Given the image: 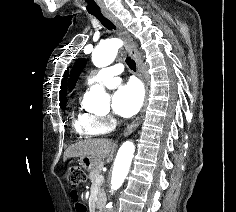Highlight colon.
Here are the masks:
<instances>
[{"label":"colon","mask_w":236,"mask_h":212,"mask_svg":"<svg viewBox=\"0 0 236 212\" xmlns=\"http://www.w3.org/2000/svg\"><path fill=\"white\" fill-rule=\"evenodd\" d=\"M67 178L74 188L80 186L85 181V173L78 165H70L67 169ZM83 205V204H80Z\"/></svg>","instance_id":"colon-1"}]
</instances>
